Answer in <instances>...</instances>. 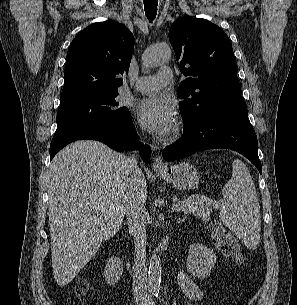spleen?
<instances>
[{
    "label": "spleen",
    "mask_w": 297,
    "mask_h": 305,
    "mask_svg": "<svg viewBox=\"0 0 297 305\" xmlns=\"http://www.w3.org/2000/svg\"><path fill=\"white\" fill-rule=\"evenodd\" d=\"M222 195L227 204L220 220L247 248L255 249L260 241V206L251 174L241 160L233 161L232 178L223 186Z\"/></svg>",
    "instance_id": "obj_1"
}]
</instances>
